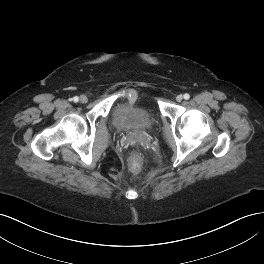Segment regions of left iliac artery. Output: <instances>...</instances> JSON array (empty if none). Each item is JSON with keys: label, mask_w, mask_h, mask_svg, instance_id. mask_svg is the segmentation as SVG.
I'll return each instance as SVG.
<instances>
[{"label": "left iliac artery", "mask_w": 264, "mask_h": 264, "mask_svg": "<svg viewBox=\"0 0 264 264\" xmlns=\"http://www.w3.org/2000/svg\"><path fill=\"white\" fill-rule=\"evenodd\" d=\"M190 98V95L188 93L184 94V99L188 100Z\"/></svg>", "instance_id": "44dca946"}]
</instances>
